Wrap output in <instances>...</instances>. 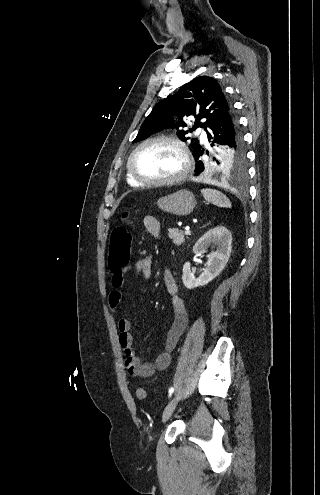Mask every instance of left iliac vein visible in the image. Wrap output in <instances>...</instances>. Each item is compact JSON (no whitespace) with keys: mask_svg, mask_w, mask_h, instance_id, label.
<instances>
[{"mask_svg":"<svg viewBox=\"0 0 320 495\" xmlns=\"http://www.w3.org/2000/svg\"><path fill=\"white\" fill-rule=\"evenodd\" d=\"M179 399H180V395L177 394L169 401V403L167 404V406L163 411L162 422H166L171 417L173 411L175 410L178 404Z\"/></svg>","mask_w":320,"mask_h":495,"instance_id":"left-iliac-vein-1","label":"left iliac vein"}]
</instances>
